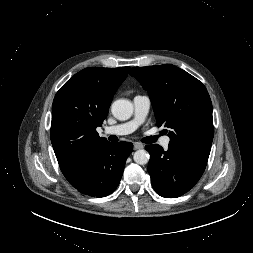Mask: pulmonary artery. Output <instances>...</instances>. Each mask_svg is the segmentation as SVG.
Returning a JSON list of instances; mask_svg holds the SVG:
<instances>
[{
  "label": "pulmonary artery",
  "instance_id": "pulmonary-artery-1",
  "mask_svg": "<svg viewBox=\"0 0 253 253\" xmlns=\"http://www.w3.org/2000/svg\"><path fill=\"white\" fill-rule=\"evenodd\" d=\"M134 116L130 121L118 125L106 127L104 135H127L134 132L146 119L151 106V100L146 95H136L133 98ZM170 143L169 137L161 139V145L167 149Z\"/></svg>",
  "mask_w": 253,
  "mask_h": 253
}]
</instances>
